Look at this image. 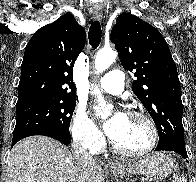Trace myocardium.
I'll return each mask as SVG.
<instances>
[{
  "instance_id": "myocardium-1",
  "label": "myocardium",
  "mask_w": 196,
  "mask_h": 182,
  "mask_svg": "<svg viewBox=\"0 0 196 182\" xmlns=\"http://www.w3.org/2000/svg\"><path fill=\"white\" fill-rule=\"evenodd\" d=\"M128 116L134 117V118H139L143 120L150 132V141L149 144L142 150L139 151H131L124 149L120 147L113 139H111V146L113 150L121 155L127 156V157H142L147 154H149L156 146L157 141H158V130L153 122V120L146 115L145 113L142 112H136V111H130L127 113Z\"/></svg>"
}]
</instances>
